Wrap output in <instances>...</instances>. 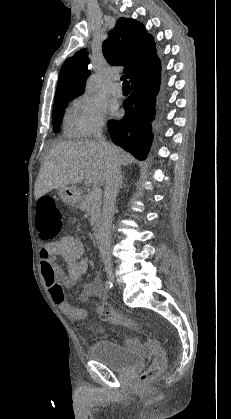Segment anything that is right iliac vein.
<instances>
[{"instance_id":"63e3f726","label":"right iliac vein","mask_w":231,"mask_h":419,"mask_svg":"<svg viewBox=\"0 0 231 419\" xmlns=\"http://www.w3.org/2000/svg\"><path fill=\"white\" fill-rule=\"evenodd\" d=\"M107 276L109 278L110 281L115 282V275L112 271V269H107Z\"/></svg>"}]
</instances>
